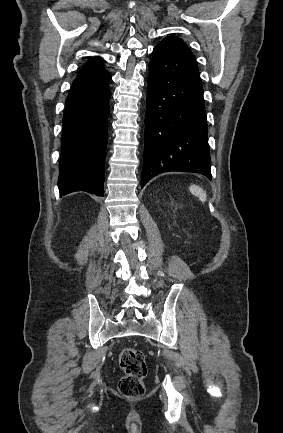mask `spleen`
Here are the masks:
<instances>
[{"instance_id": "spleen-1", "label": "spleen", "mask_w": 283, "mask_h": 433, "mask_svg": "<svg viewBox=\"0 0 283 433\" xmlns=\"http://www.w3.org/2000/svg\"><path fill=\"white\" fill-rule=\"evenodd\" d=\"M189 190H190V192H192V194H195V196H198V198H200L201 202H205V200L207 198V194H206L205 190H203V188H201V186H197V184H191V186H189Z\"/></svg>"}]
</instances>
